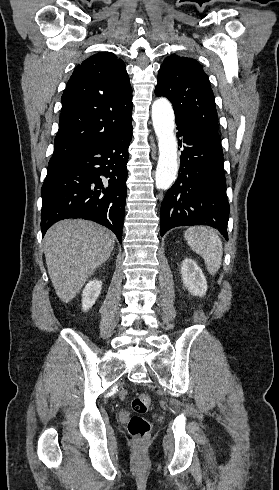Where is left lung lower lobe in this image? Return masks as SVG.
<instances>
[{
	"label": "left lung lower lobe",
	"instance_id": "1",
	"mask_svg": "<svg viewBox=\"0 0 279 490\" xmlns=\"http://www.w3.org/2000/svg\"><path fill=\"white\" fill-rule=\"evenodd\" d=\"M176 123L183 151L178 179L161 205V236L177 226L207 225L228 240L230 207L219 133L185 120Z\"/></svg>",
	"mask_w": 279,
	"mask_h": 490
}]
</instances>
